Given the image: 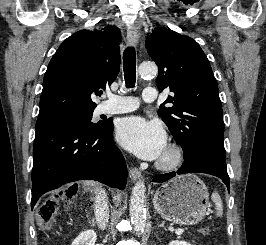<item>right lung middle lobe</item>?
<instances>
[{"mask_svg":"<svg viewBox=\"0 0 266 245\" xmlns=\"http://www.w3.org/2000/svg\"><path fill=\"white\" fill-rule=\"evenodd\" d=\"M94 109H85V110H79V111H74V112H70L67 113L57 119L54 120H44V121H38L36 123V130L40 129L56 120H60V119H80L83 120L89 124L95 125V123L91 122L92 119V114H93Z\"/></svg>","mask_w":266,"mask_h":245,"instance_id":"1","label":"right lung middle lobe"}]
</instances>
